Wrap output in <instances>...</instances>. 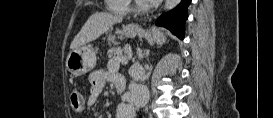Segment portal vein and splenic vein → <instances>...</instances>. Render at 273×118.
<instances>
[{
    "label": "portal vein and splenic vein",
    "mask_w": 273,
    "mask_h": 118,
    "mask_svg": "<svg viewBox=\"0 0 273 118\" xmlns=\"http://www.w3.org/2000/svg\"><path fill=\"white\" fill-rule=\"evenodd\" d=\"M128 58H131V55L128 54V56H126V57L122 56V58L120 59V61H121L122 63L126 64L127 61H128Z\"/></svg>",
    "instance_id": "obj_1"
}]
</instances>
